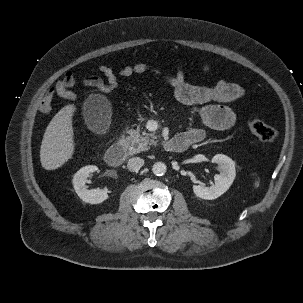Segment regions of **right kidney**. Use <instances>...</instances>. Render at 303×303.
I'll list each match as a JSON object with an SVG mask.
<instances>
[{
	"label": "right kidney",
	"instance_id": "ca27d5eb",
	"mask_svg": "<svg viewBox=\"0 0 303 303\" xmlns=\"http://www.w3.org/2000/svg\"><path fill=\"white\" fill-rule=\"evenodd\" d=\"M98 171V167L94 165H88L79 169L73 177V187L77 195L82 201L89 204H99L108 198V194L105 190L101 189H89L86 185V179L90 173Z\"/></svg>",
	"mask_w": 303,
	"mask_h": 303
}]
</instances>
